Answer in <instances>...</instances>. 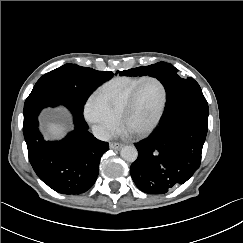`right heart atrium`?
<instances>
[{
    "instance_id": "1",
    "label": "right heart atrium",
    "mask_w": 243,
    "mask_h": 243,
    "mask_svg": "<svg viewBox=\"0 0 243 243\" xmlns=\"http://www.w3.org/2000/svg\"><path fill=\"white\" fill-rule=\"evenodd\" d=\"M86 120L94 127L95 132L102 138L110 137L118 127V119L107 111L93 96L84 109Z\"/></svg>"
}]
</instances>
